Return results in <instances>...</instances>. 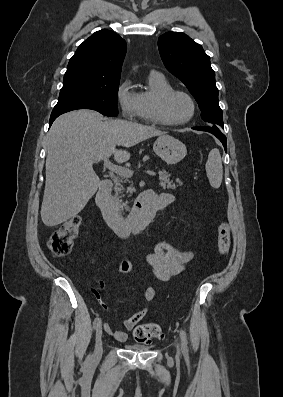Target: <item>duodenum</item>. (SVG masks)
I'll list each match as a JSON object with an SVG mask.
<instances>
[{
  "label": "duodenum",
  "mask_w": 283,
  "mask_h": 397,
  "mask_svg": "<svg viewBox=\"0 0 283 397\" xmlns=\"http://www.w3.org/2000/svg\"><path fill=\"white\" fill-rule=\"evenodd\" d=\"M111 180H104L96 194V205L108 226L121 237L144 230L155 217L160 205L152 191L141 192L135 199L126 217H123L111 202Z\"/></svg>",
  "instance_id": "duodenum-1"
}]
</instances>
